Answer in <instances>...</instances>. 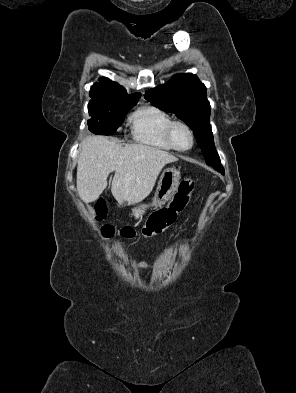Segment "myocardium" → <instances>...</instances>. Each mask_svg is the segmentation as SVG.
I'll return each instance as SVG.
<instances>
[{
	"mask_svg": "<svg viewBox=\"0 0 296 393\" xmlns=\"http://www.w3.org/2000/svg\"><path fill=\"white\" fill-rule=\"evenodd\" d=\"M179 125L185 127V128L188 130V132H189V134H190V136H191V144H190V146L187 147V148H180V147H178L177 144L175 143L173 133H174V129H175L177 126H179ZM166 135H167V139H168L169 143L171 144V146H172L175 150L180 151V152H185V151L190 150V149L194 146V144H195V134H194V131H193V129L191 128V126H190L187 122H185V121H183V120H172V122L169 124V126H168V128H167Z\"/></svg>",
	"mask_w": 296,
	"mask_h": 393,
	"instance_id": "f54148a6",
	"label": "myocardium"
}]
</instances>
